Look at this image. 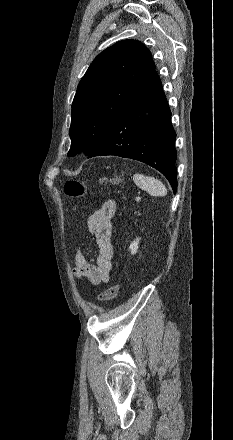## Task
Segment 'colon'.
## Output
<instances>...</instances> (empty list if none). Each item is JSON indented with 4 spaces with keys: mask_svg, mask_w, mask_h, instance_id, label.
Masks as SVG:
<instances>
[{
    "mask_svg": "<svg viewBox=\"0 0 233 440\" xmlns=\"http://www.w3.org/2000/svg\"><path fill=\"white\" fill-rule=\"evenodd\" d=\"M123 181H124V177L122 175H117L113 177H102L98 180V183L101 185H107V184H118ZM90 188H91V184L89 182L75 180V179L67 180L63 186L65 194L70 198L81 197ZM119 290H120V284L114 283L98 296V301L104 303L115 298Z\"/></svg>",
    "mask_w": 233,
    "mask_h": 440,
    "instance_id": "colon-1",
    "label": "colon"
}]
</instances>
